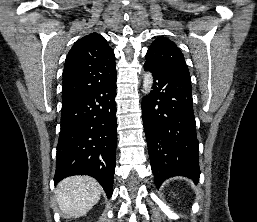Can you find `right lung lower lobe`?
Wrapping results in <instances>:
<instances>
[{"instance_id": "right-lung-lower-lobe-1", "label": "right lung lower lobe", "mask_w": 257, "mask_h": 222, "mask_svg": "<svg viewBox=\"0 0 257 222\" xmlns=\"http://www.w3.org/2000/svg\"><path fill=\"white\" fill-rule=\"evenodd\" d=\"M116 72L94 89L62 103L54 182L90 175L108 198L116 164Z\"/></svg>"}]
</instances>
